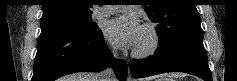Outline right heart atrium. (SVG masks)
Masks as SVG:
<instances>
[{"label": "right heart atrium", "instance_id": "right-heart-atrium-1", "mask_svg": "<svg viewBox=\"0 0 237 81\" xmlns=\"http://www.w3.org/2000/svg\"><path fill=\"white\" fill-rule=\"evenodd\" d=\"M112 50H113V51H116V48H115V46H113V47H112Z\"/></svg>", "mask_w": 237, "mask_h": 81}]
</instances>
